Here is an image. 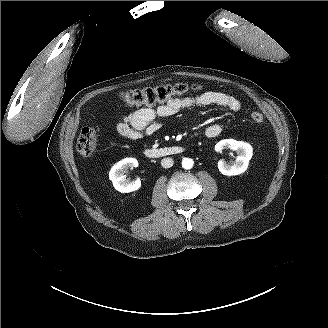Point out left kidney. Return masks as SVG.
Here are the masks:
<instances>
[{
	"label": "left kidney",
	"mask_w": 328,
	"mask_h": 328,
	"mask_svg": "<svg viewBox=\"0 0 328 328\" xmlns=\"http://www.w3.org/2000/svg\"><path fill=\"white\" fill-rule=\"evenodd\" d=\"M223 149L236 151L238 158L232 164L225 162L218 163V169L225 176H238L243 174L249 167V162L253 156V147L242 141L234 139H224L215 145V151L221 152Z\"/></svg>",
	"instance_id": "obj_1"
}]
</instances>
